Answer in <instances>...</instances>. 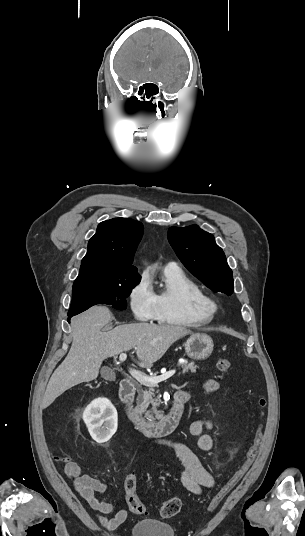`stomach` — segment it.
<instances>
[{"mask_svg":"<svg viewBox=\"0 0 305 536\" xmlns=\"http://www.w3.org/2000/svg\"><path fill=\"white\" fill-rule=\"evenodd\" d=\"M184 346L187 356L192 360H206L214 348L213 340L207 334H193Z\"/></svg>","mask_w":305,"mask_h":536,"instance_id":"obj_1","label":"stomach"}]
</instances>
